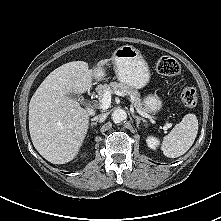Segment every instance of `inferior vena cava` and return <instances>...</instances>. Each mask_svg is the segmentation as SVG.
<instances>
[{
	"label": "inferior vena cava",
	"instance_id": "1",
	"mask_svg": "<svg viewBox=\"0 0 221 221\" xmlns=\"http://www.w3.org/2000/svg\"><path fill=\"white\" fill-rule=\"evenodd\" d=\"M107 115L106 114H100L97 115L96 117L93 118L94 121H104L106 119Z\"/></svg>",
	"mask_w": 221,
	"mask_h": 221
}]
</instances>
